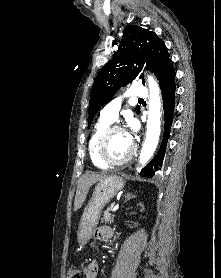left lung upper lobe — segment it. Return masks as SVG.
I'll return each instance as SVG.
<instances>
[{
  "instance_id": "obj_1",
  "label": "left lung upper lobe",
  "mask_w": 221,
  "mask_h": 278,
  "mask_svg": "<svg viewBox=\"0 0 221 278\" xmlns=\"http://www.w3.org/2000/svg\"><path fill=\"white\" fill-rule=\"evenodd\" d=\"M169 61L164 42L154 32L136 25L127 28L113 59L102 67L94 81L89 102L88 125L96 111L112 98L121 86L139 76L143 66L157 77ZM136 112L140 113L138 106Z\"/></svg>"
}]
</instances>
